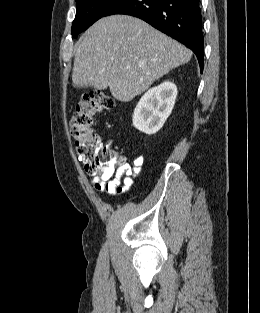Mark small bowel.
<instances>
[{
    "instance_id": "c3829d8e",
    "label": "small bowel",
    "mask_w": 260,
    "mask_h": 313,
    "mask_svg": "<svg viewBox=\"0 0 260 313\" xmlns=\"http://www.w3.org/2000/svg\"><path fill=\"white\" fill-rule=\"evenodd\" d=\"M142 163V158L138 157L133 161V167L125 166L122 174L123 176L114 180H103L99 177H94L91 183L96 191L107 192L111 197H116L125 193L132 185L134 178L138 175V166Z\"/></svg>"
}]
</instances>
